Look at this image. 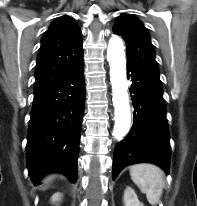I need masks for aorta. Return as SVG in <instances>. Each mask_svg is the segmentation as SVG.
<instances>
[{
  "label": "aorta",
  "mask_w": 197,
  "mask_h": 206,
  "mask_svg": "<svg viewBox=\"0 0 197 206\" xmlns=\"http://www.w3.org/2000/svg\"><path fill=\"white\" fill-rule=\"evenodd\" d=\"M107 60L110 66L112 101L115 108L113 136L121 140L129 131L131 112L126 83V59L124 45L117 36H112L108 43Z\"/></svg>",
  "instance_id": "1"
}]
</instances>
